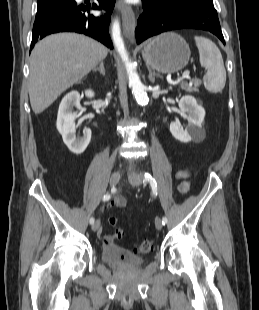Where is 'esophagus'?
Listing matches in <instances>:
<instances>
[{
	"label": "esophagus",
	"instance_id": "obj_1",
	"mask_svg": "<svg viewBox=\"0 0 259 310\" xmlns=\"http://www.w3.org/2000/svg\"><path fill=\"white\" fill-rule=\"evenodd\" d=\"M116 9L122 15L123 31L125 37L129 39L131 43H134L136 20L132 8L129 5L124 4L121 0H118Z\"/></svg>",
	"mask_w": 259,
	"mask_h": 310
}]
</instances>
